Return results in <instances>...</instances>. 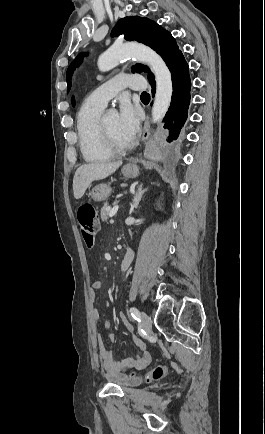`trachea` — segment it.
Instances as JSON below:
<instances>
[{
  "instance_id": "obj_1",
  "label": "trachea",
  "mask_w": 265,
  "mask_h": 434,
  "mask_svg": "<svg viewBox=\"0 0 265 434\" xmlns=\"http://www.w3.org/2000/svg\"><path fill=\"white\" fill-rule=\"evenodd\" d=\"M141 97L142 98H146V97L150 98V96H149V94H147V92H142Z\"/></svg>"
}]
</instances>
